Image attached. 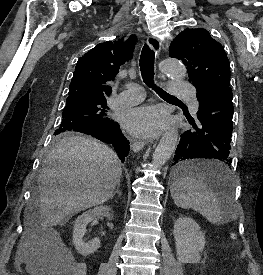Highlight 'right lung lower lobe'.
Returning a JSON list of instances; mask_svg holds the SVG:
<instances>
[{"label":"right lung lower lobe","mask_w":263,"mask_h":275,"mask_svg":"<svg viewBox=\"0 0 263 275\" xmlns=\"http://www.w3.org/2000/svg\"><path fill=\"white\" fill-rule=\"evenodd\" d=\"M74 131L90 135L103 142L112 144L122 162H124L125 157L128 156L130 150L129 141L122 134L118 123L112 120L100 128L81 127L76 128Z\"/></svg>","instance_id":"98d812e1"}]
</instances>
